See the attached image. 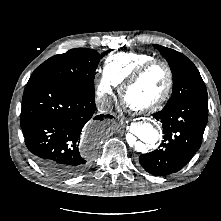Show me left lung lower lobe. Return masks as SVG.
Listing matches in <instances>:
<instances>
[{
    "label": "left lung lower lobe",
    "instance_id": "left-lung-lower-lobe-1",
    "mask_svg": "<svg viewBox=\"0 0 221 221\" xmlns=\"http://www.w3.org/2000/svg\"><path fill=\"white\" fill-rule=\"evenodd\" d=\"M153 117L162 123L164 141L159 149L140 155L139 162L150 174L164 176L181 170L200 148L208 121V97L193 96L166 105Z\"/></svg>",
    "mask_w": 221,
    "mask_h": 221
}]
</instances>
